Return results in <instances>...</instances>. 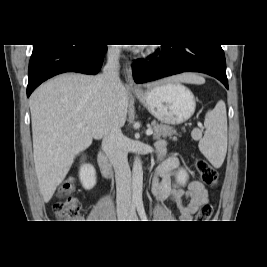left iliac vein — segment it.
<instances>
[{
	"mask_svg": "<svg viewBox=\"0 0 267 267\" xmlns=\"http://www.w3.org/2000/svg\"><path fill=\"white\" fill-rule=\"evenodd\" d=\"M132 217H133V219H137V215H136L135 212L133 213V216Z\"/></svg>",
	"mask_w": 267,
	"mask_h": 267,
	"instance_id": "obj_1",
	"label": "left iliac vein"
}]
</instances>
